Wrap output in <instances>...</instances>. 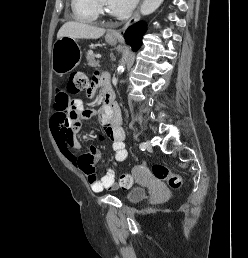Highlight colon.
<instances>
[{
	"label": "colon",
	"mask_w": 248,
	"mask_h": 258,
	"mask_svg": "<svg viewBox=\"0 0 248 258\" xmlns=\"http://www.w3.org/2000/svg\"><path fill=\"white\" fill-rule=\"evenodd\" d=\"M89 87L87 76L82 72H75L70 77L69 93L79 95L85 92ZM151 173L156 180L166 182L172 189L178 190L182 187V178L174 173L168 166L155 163L151 166ZM133 184V177L128 173L120 175V185L123 188H130Z\"/></svg>",
	"instance_id": "obj_1"
}]
</instances>
